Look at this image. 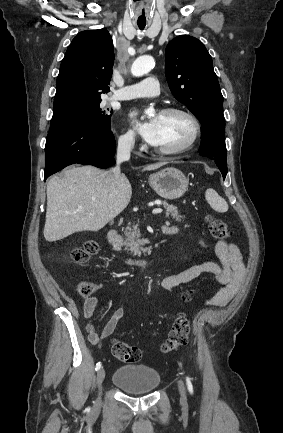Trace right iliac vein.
<instances>
[{"label":"right iliac vein","mask_w":283,"mask_h":433,"mask_svg":"<svg viewBox=\"0 0 283 433\" xmlns=\"http://www.w3.org/2000/svg\"><path fill=\"white\" fill-rule=\"evenodd\" d=\"M104 378H105V370L102 367L97 372V385L99 387V390H101V386H102V383L104 381ZM99 403H100V401L97 404H99Z\"/></svg>","instance_id":"63e3f726"}]
</instances>
